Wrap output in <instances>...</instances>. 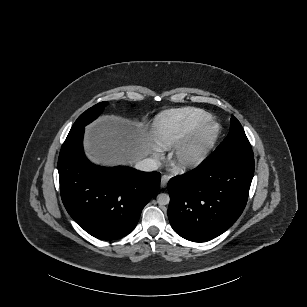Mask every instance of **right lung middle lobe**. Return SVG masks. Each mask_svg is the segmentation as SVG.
<instances>
[{
    "label": "right lung middle lobe",
    "instance_id": "right-lung-middle-lobe-1",
    "mask_svg": "<svg viewBox=\"0 0 307 307\" xmlns=\"http://www.w3.org/2000/svg\"><path fill=\"white\" fill-rule=\"evenodd\" d=\"M106 105L107 102H100L82 113L73 124L69 133H73L95 120L102 113Z\"/></svg>",
    "mask_w": 307,
    "mask_h": 307
}]
</instances>
